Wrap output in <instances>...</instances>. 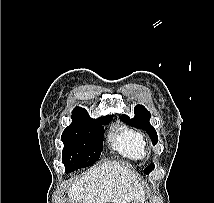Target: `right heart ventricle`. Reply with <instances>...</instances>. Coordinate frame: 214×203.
I'll return each instance as SVG.
<instances>
[{"label": "right heart ventricle", "mask_w": 214, "mask_h": 203, "mask_svg": "<svg viewBox=\"0 0 214 203\" xmlns=\"http://www.w3.org/2000/svg\"><path fill=\"white\" fill-rule=\"evenodd\" d=\"M112 147L123 157L141 160L145 157L144 136L126 125L118 126L112 136Z\"/></svg>", "instance_id": "right-heart-ventricle-1"}]
</instances>
